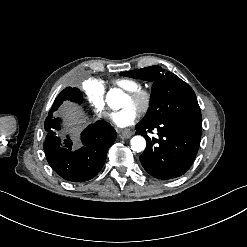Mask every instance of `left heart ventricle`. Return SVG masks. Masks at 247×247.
Segmentation results:
<instances>
[{"label": "left heart ventricle", "mask_w": 247, "mask_h": 247, "mask_svg": "<svg viewBox=\"0 0 247 247\" xmlns=\"http://www.w3.org/2000/svg\"><path fill=\"white\" fill-rule=\"evenodd\" d=\"M131 100L129 99L128 104H130Z\"/></svg>", "instance_id": "b2bd125f"}]
</instances>
